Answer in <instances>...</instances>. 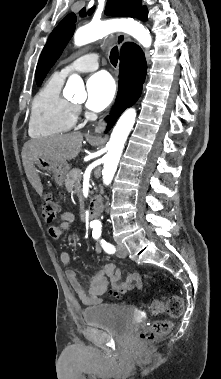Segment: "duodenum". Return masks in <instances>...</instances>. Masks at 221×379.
I'll return each mask as SVG.
<instances>
[{
  "label": "duodenum",
  "instance_id": "410a0bca",
  "mask_svg": "<svg viewBox=\"0 0 221 379\" xmlns=\"http://www.w3.org/2000/svg\"><path fill=\"white\" fill-rule=\"evenodd\" d=\"M100 210V201L98 198H94L91 200L88 208V215L90 218H94L98 215Z\"/></svg>",
  "mask_w": 221,
  "mask_h": 379
}]
</instances>
